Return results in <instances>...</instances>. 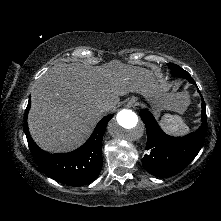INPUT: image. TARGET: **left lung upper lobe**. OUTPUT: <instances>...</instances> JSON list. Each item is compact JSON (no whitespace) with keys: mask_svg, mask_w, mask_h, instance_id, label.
<instances>
[{"mask_svg":"<svg viewBox=\"0 0 221 221\" xmlns=\"http://www.w3.org/2000/svg\"><path fill=\"white\" fill-rule=\"evenodd\" d=\"M167 65L171 69V73L175 76L182 77V78L186 79V76L190 75L187 71L183 70L178 65H175V64H172V63H169Z\"/></svg>","mask_w":221,"mask_h":221,"instance_id":"left-lung-upper-lobe-1","label":"left lung upper lobe"}]
</instances>
